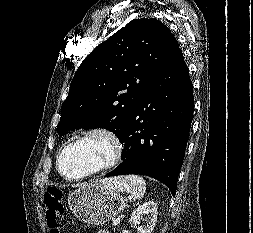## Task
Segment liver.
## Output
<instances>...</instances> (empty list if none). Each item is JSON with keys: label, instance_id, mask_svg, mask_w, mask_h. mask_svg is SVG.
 <instances>
[{"label": "liver", "instance_id": "obj_1", "mask_svg": "<svg viewBox=\"0 0 253 233\" xmlns=\"http://www.w3.org/2000/svg\"><path fill=\"white\" fill-rule=\"evenodd\" d=\"M95 183H100V184L105 185L107 183V180H105V181H98V182H95Z\"/></svg>", "mask_w": 253, "mask_h": 233}]
</instances>
